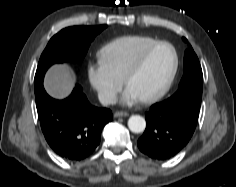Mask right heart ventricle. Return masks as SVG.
I'll return each instance as SVG.
<instances>
[{
	"mask_svg": "<svg viewBox=\"0 0 236 187\" xmlns=\"http://www.w3.org/2000/svg\"><path fill=\"white\" fill-rule=\"evenodd\" d=\"M158 40L146 35H128L105 44L98 52L99 63L123 80L140 53Z\"/></svg>",
	"mask_w": 236,
	"mask_h": 187,
	"instance_id": "obj_1",
	"label": "right heart ventricle"
}]
</instances>
